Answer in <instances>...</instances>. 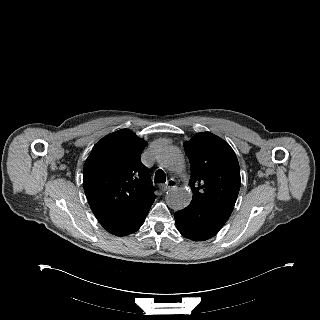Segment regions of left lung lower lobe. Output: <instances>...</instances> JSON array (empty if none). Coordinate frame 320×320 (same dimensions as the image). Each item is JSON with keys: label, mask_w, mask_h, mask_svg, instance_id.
Here are the masks:
<instances>
[{"label": "left lung lower lobe", "mask_w": 320, "mask_h": 320, "mask_svg": "<svg viewBox=\"0 0 320 320\" xmlns=\"http://www.w3.org/2000/svg\"><path fill=\"white\" fill-rule=\"evenodd\" d=\"M230 213L205 202L192 200L191 203L175 213L178 231L193 241H204L215 236L223 227Z\"/></svg>", "instance_id": "left-lung-lower-lobe-1"}]
</instances>
